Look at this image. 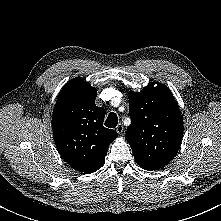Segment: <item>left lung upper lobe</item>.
<instances>
[{"label": "left lung upper lobe", "instance_id": "left-lung-upper-lobe-1", "mask_svg": "<svg viewBox=\"0 0 221 221\" xmlns=\"http://www.w3.org/2000/svg\"><path fill=\"white\" fill-rule=\"evenodd\" d=\"M132 119L126 132L136 163L146 170L163 168L177 154L183 118L171 91L162 83L128 93Z\"/></svg>", "mask_w": 221, "mask_h": 221}]
</instances>
